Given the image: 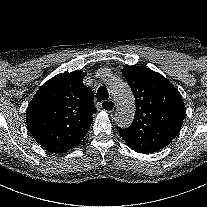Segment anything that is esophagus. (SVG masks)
<instances>
[{"instance_id": "esophagus-1", "label": "esophagus", "mask_w": 207, "mask_h": 207, "mask_svg": "<svg viewBox=\"0 0 207 207\" xmlns=\"http://www.w3.org/2000/svg\"><path fill=\"white\" fill-rule=\"evenodd\" d=\"M101 108L106 112H114L116 110V103L110 99H103L101 101Z\"/></svg>"}]
</instances>
